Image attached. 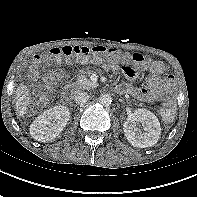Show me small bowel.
<instances>
[{
	"instance_id": "1",
	"label": "small bowel",
	"mask_w": 197,
	"mask_h": 197,
	"mask_svg": "<svg viewBox=\"0 0 197 197\" xmlns=\"http://www.w3.org/2000/svg\"><path fill=\"white\" fill-rule=\"evenodd\" d=\"M165 66L160 61H153L149 65V76L146 79V84L142 87H134L132 84H122L125 93H130L135 98L146 101L155 102L163 99H168L172 102L174 92V82L171 76H163ZM123 72L125 77L133 82L136 79V73L130 65V60H123ZM31 77H36V72H31Z\"/></svg>"
}]
</instances>
